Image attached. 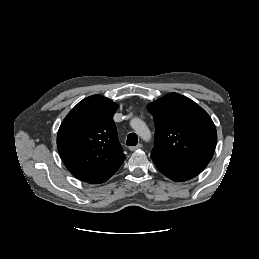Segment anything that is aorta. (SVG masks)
<instances>
[{"mask_svg":"<svg viewBox=\"0 0 259 259\" xmlns=\"http://www.w3.org/2000/svg\"><path fill=\"white\" fill-rule=\"evenodd\" d=\"M131 126L144 140H148L150 138V131L142 120L138 118L133 119L131 121Z\"/></svg>","mask_w":259,"mask_h":259,"instance_id":"aorta-1","label":"aorta"}]
</instances>
